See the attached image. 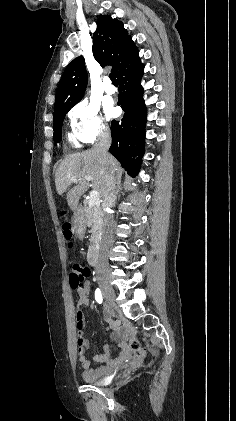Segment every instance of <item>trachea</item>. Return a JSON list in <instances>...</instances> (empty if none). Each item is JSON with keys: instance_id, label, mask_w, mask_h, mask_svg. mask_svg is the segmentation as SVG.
Instances as JSON below:
<instances>
[{"instance_id": "obj_1", "label": "trachea", "mask_w": 236, "mask_h": 421, "mask_svg": "<svg viewBox=\"0 0 236 421\" xmlns=\"http://www.w3.org/2000/svg\"><path fill=\"white\" fill-rule=\"evenodd\" d=\"M110 80L112 81V83H118L115 74L112 72L109 74Z\"/></svg>"}]
</instances>
